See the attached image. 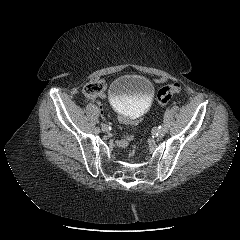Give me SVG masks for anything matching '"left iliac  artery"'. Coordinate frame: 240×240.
Segmentation results:
<instances>
[{
  "label": "left iliac artery",
  "mask_w": 240,
  "mask_h": 240,
  "mask_svg": "<svg viewBox=\"0 0 240 240\" xmlns=\"http://www.w3.org/2000/svg\"><path fill=\"white\" fill-rule=\"evenodd\" d=\"M168 121H169V109L166 110L165 114H164V124H162V129H167V125H168Z\"/></svg>",
  "instance_id": "44dca946"
}]
</instances>
